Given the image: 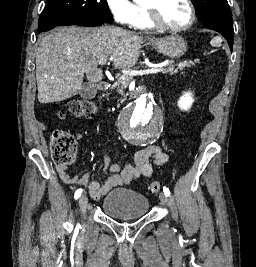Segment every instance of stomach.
<instances>
[{"mask_svg":"<svg viewBox=\"0 0 256 267\" xmlns=\"http://www.w3.org/2000/svg\"><path fill=\"white\" fill-rule=\"evenodd\" d=\"M150 44L154 46L163 56L168 58H180L187 50L186 40L181 36H164V38H155L150 40Z\"/></svg>","mask_w":256,"mask_h":267,"instance_id":"obj_1","label":"stomach"}]
</instances>
